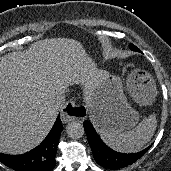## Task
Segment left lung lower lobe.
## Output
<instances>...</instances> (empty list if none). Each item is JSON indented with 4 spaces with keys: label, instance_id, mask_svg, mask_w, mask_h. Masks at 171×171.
<instances>
[{
    "label": "left lung lower lobe",
    "instance_id": "obj_1",
    "mask_svg": "<svg viewBox=\"0 0 171 171\" xmlns=\"http://www.w3.org/2000/svg\"><path fill=\"white\" fill-rule=\"evenodd\" d=\"M84 129L96 162L109 170H119L134 163L149 149L146 148L135 154H123L110 149L98 136L93 125L84 121Z\"/></svg>",
    "mask_w": 171,
    "mask_h": 171
}]
</instances>
